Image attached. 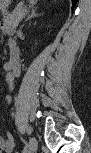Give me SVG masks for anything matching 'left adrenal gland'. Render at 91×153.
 <instances>
[{
  "label": "left adrenal gland",
  "mask_w": 91,
  "mask_h": 153,
  "mask_svg": "<svg viewBox=\"0 0 91 153\" xmlns=\"http://www.w3.org/2000/svg\"><path fill=\"white\" fill-rule=\"evenodd\" d=\"M38 15H39V14L36 13V9H33V10L31 11V13L28 15V17L26 18L25 22L31 20L32 18H34V17H36V16H38Z\"/></svg>",
  "instance_id": "left-adrenal-gland-1"
}]
</instances>
